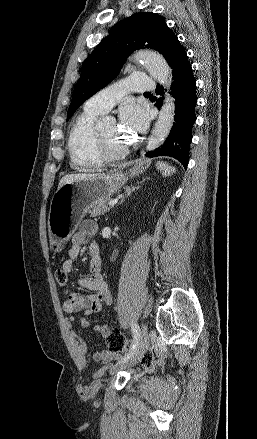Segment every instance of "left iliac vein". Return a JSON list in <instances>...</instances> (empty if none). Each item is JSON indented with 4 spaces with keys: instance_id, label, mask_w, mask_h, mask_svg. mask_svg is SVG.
Listing matches in <instances>:
<instances>
[{
    "instance_id": "1",
    "label": "left iliac vein",
    "mask_w": 257,
    "mask_h": 439,
    "mask_svg": "<svg viewBox=\"0 0 257 439\" xmlns=\"http://www.w3.org/2000/svg\"><path fill=\"white\" fill-rule=\"evenodd\" d=\"M149 332L147 331V328L145 325H142V329H141V335L139 338V342L137 345V348L135 349V351L129 356V358L124 361V362H120L119 364H117L114 369L111 371L112 374L116 373L117 371L127 367V366H132L134 364H136L138 362V360H140L144 354V352L146 351V349L149 346Z\"/></svg>"
}]
</instances>
